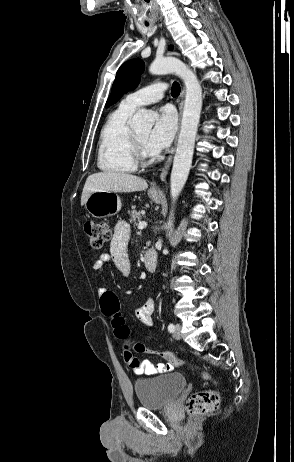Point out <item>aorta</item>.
I'll use <instances>...</instances> for the list:
<instances>
[{"mask_svg": "<svg viewBox=\"0 0 294 462\" xmlns=\"http://www.w3.org/2000/svg\"><path fill=\"white\" fill-rule=\"evenodd\" d=\"M149 71L154 75L175 73L184 81L186 87L181 130L170 177V194L174 204L187 181L192 164L195 138L202 109V88L196 74L182 61L174 57L155 59L151 63ZM152 125L153 121L145 109H140L131 121V126L140 131H149ZM173 215L172 210L168 221L169 229L173 224Z\"/></svg>", "mask_w": 294, "mask_h": 462, "instance_id": "1", "label": "aorta"}]
</instances>
